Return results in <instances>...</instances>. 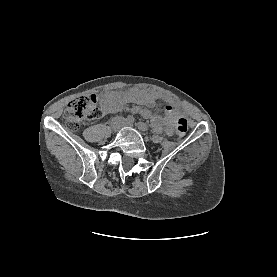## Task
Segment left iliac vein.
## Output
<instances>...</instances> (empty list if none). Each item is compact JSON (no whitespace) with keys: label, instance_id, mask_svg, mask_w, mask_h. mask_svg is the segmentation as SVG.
Returning a JSON list of instances; mask_svg holds the SVG:
<instances>
[{"label":"left iliac vein","instance_id":"obj_1","mask_svg":"<svg viewBox=\"0 0 277 277\" xmlns=\"http://www.w3.org/2000/svg\"><path fill=\"white\" fill-rule=\"evenodd\" d=\"M126 125H127V126H130V127L133 126V124H131V123H126Z\"/></svg>","mask_w":277,"mask_h":277}]
</instances>
